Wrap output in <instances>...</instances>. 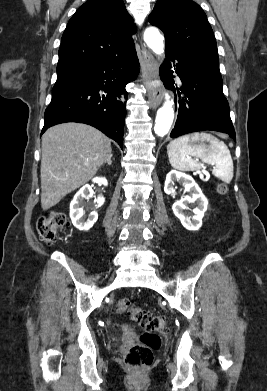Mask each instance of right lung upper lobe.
<instances>
[{"label": "right lung upper lobe", "instance_id": "cb5924a9", "mask_svg": "<svg viewBox=\"0 0 267 391\" xmlns=\"http://www.w3.org/2000/svg\"><path fill=\"white\" fill-rule=\"evenodd\" d=\"M136 26L122 0H88L69 20L59 48L57 77L135 49Z\"/></svg>", "mask_w": 267, "mask_h": 391}]
</instances>
